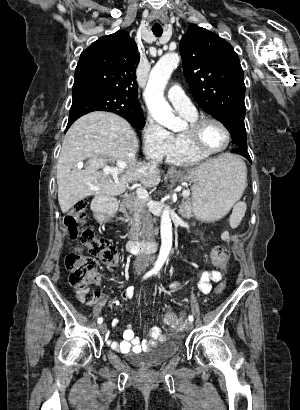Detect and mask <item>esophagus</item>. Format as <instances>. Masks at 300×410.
<instances>
[{
	"label": "esophagus",
	"mask_w": 300,
	"mask_h": 410,
	"mask_svg": "<svg viewBox=\"0 0 300 410\" xmlns=\"http://www.w3.org/2000/svg\"><path fill=\"white\" fill-rule=\"evenodd\" d=\"M168 173H169V174H175V173H178V171L176 170V168L170 167V168L168 169Z\"/></svg>",
	"instance_id": "esophagus-1"
}]
</instances>
